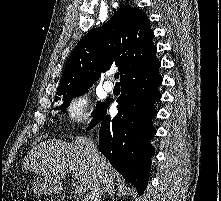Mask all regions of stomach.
I'll return each instance as SVG.
<instances>
[{"instance_id":"obj_1","label":"stomach","mask_w":221,"mask_h":201,"mask_svg":"<svg viewBox=\"0 0 221 201\" xmlns=\"http://www.w3.org/2000/svg\"><path fill=\"white\" fill-rule=\"evenodd\" d=\"M32 190L36 194H50L56 190V187L42 177H38L32 184Z\"/></svg>"}]
</instances>
